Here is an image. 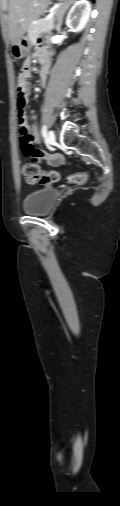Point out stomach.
<instances>
[{"mask_svg": "<svg viewBox=\"0 0 120 506\" xmlns=\"http://www.w3.org/2000/svg\"><path fill=\"white\" fill-rule=\"evenodd\" d=\"M32 43L28 36L23 35L17 42L12 44V55L15 59H23L30 53Z\"/></svg>", "mask_w": 120, "mask_h": 506, "instance_id": "0dacf381", "label": "stomach"}]
</instances>
